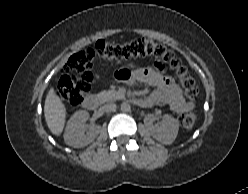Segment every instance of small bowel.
<instances>
[{
  "label": "small bowel",
  "mask_w": 248,
  "mask_h": 194,
  "mask_svg": "<svg viewBox=\"0 0 248 194\" xmlns=\"http://www.w3.org/2000/svg\"><path fill=\"white\" fill-rule=\"evenodd\" d=\"M126 81L130 84L144 83L155 88L144 99L148 103L147 106L169 105L178 114L186 113L193 108V103L184 98L180 86L165 76L158 67L145 66L129 72Z\"/></svg>",
  "instance_id": "c3829d8e"
}]
</instances>
